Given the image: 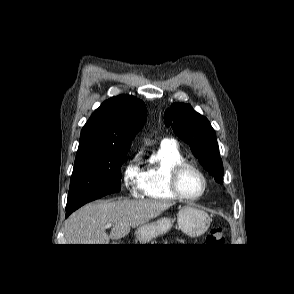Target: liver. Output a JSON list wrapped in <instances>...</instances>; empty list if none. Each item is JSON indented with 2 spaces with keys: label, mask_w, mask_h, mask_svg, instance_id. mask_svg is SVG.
<instances>
[{
  "label": "liver",
  "mask_w": 294,
  "mask_h": 294,
  "mask_svg": "<svg viewBox=\"0 0 294 294\" xmlns=\"http://www.w3.org/2000/svg\"><path fill=\"white\" fill-rule=\"evenodd\" d=\"M173 203L155 200H118L89 203L75 211L65 223L67 244H109L129 234L169 209ZM112 223L110 234L106 224Z\"/></svg>",
  "instance_id": "obj_1"
}]
</instances>
